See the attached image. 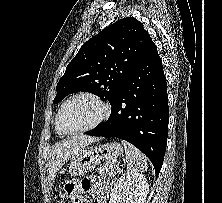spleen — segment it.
Listing matches in <instances>:
<instances>
[{
    "label": "spleen",
    "instance_id": "spleen-1",
    "mask_svg": "<svg viewBox=\"0 0 222 203\" xmlns=\"http://www.w3.org/2000/svg\"><path fill=\"white\" fill-rule=\"evenodd\" d=\"M125 148V164L128 172H144L148 168L147 158L135 146L122 140Z\"/></svg>",
    "mask_w": 222,
    "mask_h": 203
}]
</instances>
